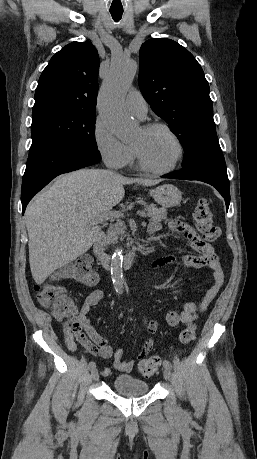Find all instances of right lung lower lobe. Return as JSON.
Masks as SVG:
<instances>
[{
  "label": "right lung lower lobe",
  "mask_w": 257,
  "mask_h": 459,
  "mask_svg": "<svg viewBox=\"0 0 257 459\" xmlns=\"http://www.w3.org/2000/svg\"><path fill=\"white\" fill-rule=\"evenodd\" d=\"M100 159L101 156L70 146L30 150L22 180V213L33 196L56 176L94 165Z\"/></svg>",
  "instance_id": "obj_1"
}]
</instances>
